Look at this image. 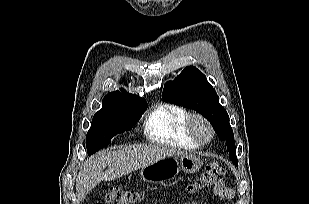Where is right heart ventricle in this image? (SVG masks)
<instances>
[{
  "label": "right heart ventricle",
  "mask_w": 309,
  "mask_h": 204,
  "mask_svg": "<svg viewBox=\"0 0 309 204\" xmlns=\"http://www.w3.org/2000/svg\"><path fill=\"white\" fill-rule=\"evenodd\" d=\"M189 112L182 106L161 103L155 106L144 121V132L152 142L194 149L200 145L188 135L186 121Z\"/></svg>",
  "instance_id": "1"
}]
</instances>
